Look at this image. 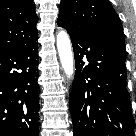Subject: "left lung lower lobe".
Segmentation results:
<instances>
[{
  "instance_id": "left-lung-lower-lobe-1",
  "label": "left lung lower lobe",
  "mask_w": 136,
  "mask_h": 136,
  "mask_svg": "<svg viewBox=\"0 0 136 136\" xmlns=\"http://www.w3.org/2000/svg\"><path fill=\"white\" fill-rule=\"evenodd\" d=\"M68 33L76 67L69 98L74 136H133L125 46L108 37Z\"/></svg>"
}]
</instances>
